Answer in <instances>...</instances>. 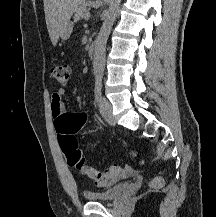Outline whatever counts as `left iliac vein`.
<instances>
[{"instance_id": "obj_1", "label": "left iliac vein", "mask_w": 216, "mask_h": 217, "mask_svg": "<svg viewBox=\"0 0 216 217\" xmlns=\"http://www.w3.org/2000/svg\"><path fill=\"white\" fill-rule=\"evenodd\" d=\"M99 109L102 117L105 119V121L110 125H115L116 120L112 114V105L106 98H101L99 102Z\"/></svg>"}]
</instances>
